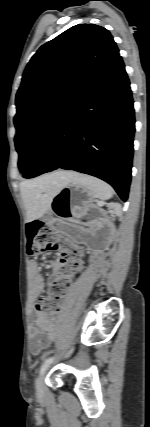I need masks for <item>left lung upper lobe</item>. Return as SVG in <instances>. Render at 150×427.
Wrapping results in <instances>:
<instances>
[{"mask_svg": "<svg viewBox=\"0 0 150 427\" xmlns=\"http://www.w3.org/2000/svg\"><path fill=\"white\" fill-rule=\"evenodd\" d=\"M117 52L107 29L79 24L35 53L16 95L14 141L21 173L30 167L45 137L83 86Z\"/></svg>", "mask_w": 150, "mask_h": 427, "instance_id": "1", "label": "left lung upper lobe"}]
</instances>
